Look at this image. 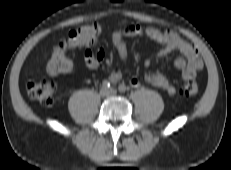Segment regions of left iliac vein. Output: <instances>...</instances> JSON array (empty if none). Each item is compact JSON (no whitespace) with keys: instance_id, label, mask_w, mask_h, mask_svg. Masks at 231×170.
Here are the masks:
<instances>
[{"instance_id":"obj_1","label":"left iliac vein","mask_w":231,"mask_h":170,"mask_svg":"<svg viewBox=\"0 0 231 170\" xmlns=\"http://www.w3.org/2000/svg\"><path fill=\"white\" fill-rule=\"evenodd\" d=\"M115 94H116V90L114 89L109 90V95H115Z\"/></svg>"}]
</instances>
